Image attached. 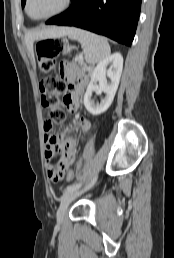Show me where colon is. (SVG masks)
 <instances>
[{
    "instance_id": "colon-1",
    "label": "colon",
    "mask_w": 174,
    "mask_h": 258,
    "mask_svg": "<svg viewBox=\"0 0 174 258\" xmlns=\"http://www.w3.org/2000/svg\"><path fill=\"white\" fill-rule=\"evenodd\" d=\"M66 45L59 39H43L36 44V54L40 69L48 73L54 67L59 55L65 53ZM41 102L46 109L47 116L52 123H62L66 118L64 109L60 106V96L67 90V84L57 78H46L39 83ZM66 179L72 181L75 178L73 170L66 173Z\"/></svg>"
}]
</instances>
